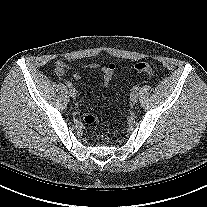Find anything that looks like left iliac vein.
Returning a JSON list of instances; mask_svg holds the SVG:
<instances>
[{"instance_id":"obj_1","label":"left iliac vein","mask_w":207,"mask_h":207,"mask_svg":"<svg viewBox=\"0 0 207 207\" xmlns=\"http://www.w3.org/2000/svg\"><path fill=\"white\" fill-rule=\"evenodd\" d=\"M138 101V93L136 91H133L130 95V102L132 104H135Z\"/></svg>"}]
</instances>
